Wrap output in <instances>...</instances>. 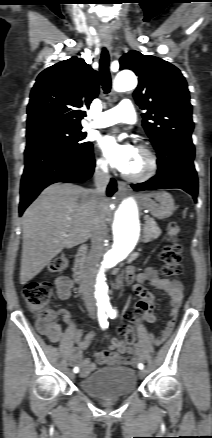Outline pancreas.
<instances>
[{
	"label": "pancreas",
	"mask_w": 212,
	"mask_h": 438,
	"mask_svg": "<svg viewBox=\"0 0 212 438\" xmlns=\"http://www.w3.org/2000/svg\"><path fill=\"white\" fill-rule=\"evenodd\" d=\"M161 234L160 228L157 226L155 220L150 217H145V225L143 228L144 242H151L157 239Z\"/></svg>",
	"instance_id": "obj_1"
}]
</instances>
